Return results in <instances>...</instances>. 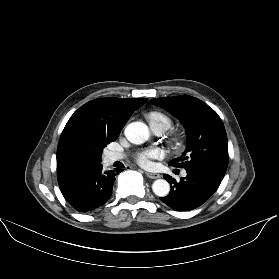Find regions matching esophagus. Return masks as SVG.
Here are the masks:
<instances>
[{"mask_svg":"<svg viewBox=\"0 0 279 279\" xmlns=\"http://www.w3.org/2000/svg\"><path fill=\"white\" fill-rule=\"evenodd\" d=\"M146 176L151 178V179H157V178H160V174H157V173H151V172H145Z\"/></svg>","mask_w":279,"mask_h":279,"instance_id":"1","label":"esophagus"}]
</instances>
